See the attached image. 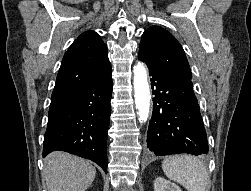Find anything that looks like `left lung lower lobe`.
<instances>
[{"label": "left lung lower lobe", "instance_id": "0a47b994", "mask_svg": "<svg viewBox=\"0 0 251 191\" xmlns=\"http://www.w3.org/2000/svg\"><path fill=\"white\" fill-rule=\"evenodd\" d=\"M151 75L153 113L147 133V147L157 156L208 153V141L191 80L165 73L148 60Z\"/></svg>", "mask_w": 251, "mask_h": 191}]
</instances>
